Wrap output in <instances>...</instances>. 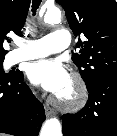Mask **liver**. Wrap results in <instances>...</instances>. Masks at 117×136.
Listing matches in <instances>:
<instances>
[{"mask_svg":"<svg viewBox=\"0 0 117 136\" xmlns=\"http://www.w3.org/2000/svg\"><path fill=\"white\" fill-rule=\"evenodd\" d=\"M0 136H5V135H3V134H0Z\"/></svg>","mask_w":117,"mask_h":136,"instance_id":"obj_1","label":"liver"}]
</instances>
